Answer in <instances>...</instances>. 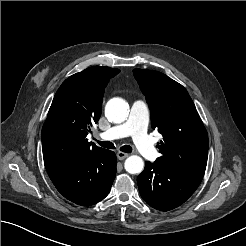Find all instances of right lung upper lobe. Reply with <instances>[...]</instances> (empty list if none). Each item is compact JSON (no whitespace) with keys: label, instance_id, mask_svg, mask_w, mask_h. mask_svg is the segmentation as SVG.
Here are the masks:
<instances>
[{"label":"right lung upper lobe","instance_id":"1","mask_svg":"<svg viewBox=\"0 0 246 246\" xmlns=\"http://www.w3.org/2000/svg\"><path fill=\"white\" fill-rule=\"evenodd\" d=\"M119 69L93 66L67 78L52 101L42 128V150L46 169L76 157H87L106 149L86 138L101 115L103 94Z\"/></svg>","mask_w":246,"mask_h":246}]
</instances>
